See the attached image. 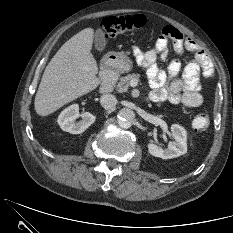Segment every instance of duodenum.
<instances>
[{
	"mask_svg": "<svg viewBox=\"0 0 233 233\" xmlns=\"http://www.w3.org/2000/svg\"><path fill=\"white\" fill-rule=\"evenodd\" d=\"M100 76H101L100 92L102 94L111 92L117 79V69L112 64V61L107 60L103 63L101 67Z\"/></svg>",
	"mask_w": 233,
	"mask_h": 233,
	"instance_id": "1",
	"label": "duodenum"
}]
</instances>
